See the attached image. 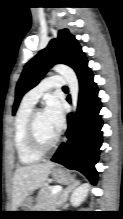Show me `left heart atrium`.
Segmentation results:
<instances>
[{
    "label": "left heart atrium",
    "instance_id": "left-heart-atrium-1",
    "mask_svg": "<svg viewBox=\"0 0 123 219\" xmlns=\"http://www.w3.org/2000/svg\"><path fill=\"white\" fill-rule=\"evenodd\" d=\"M44 114L51 127L58 134L64 125V112L61 102L56 97H50L46 102Z\"/></svg>",
    "mask_w": 123,
    "mask_h": 219
}]
</instances>
